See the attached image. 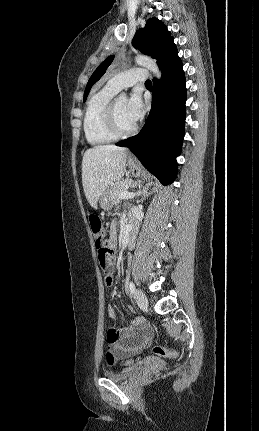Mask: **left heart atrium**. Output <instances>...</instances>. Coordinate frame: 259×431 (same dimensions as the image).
Here are the masks:
<instances>
[{
    "mask_svg": "<svg viewBox=\"0 0 259 431\" xmlns=\"http://www.w3.org/2000/svg\"><path fill=\"white\" fill-rule=\"evenodd\" d=\"M125 111L129 120L134 124L144 116L145 108L138 91H134L126 100Z\"/></svg>",
    "mask_w": 259,
    "mask_h": 431,
    "instance_id": "left-heart-atrium-1",
    "label": "left heart atrium"
}]
</instances>
